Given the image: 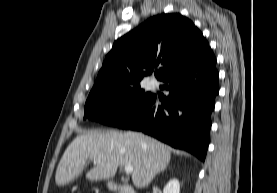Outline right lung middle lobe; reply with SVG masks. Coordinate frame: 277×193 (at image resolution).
I'll use <instances>...</instances> for the list:
<instances>
[{
    "label": "right lung middle lobe",
    "mask_w": 277,
    "mask_h": 193,
    "mask_svg": "<svg viewBox=\"0 0 277 193\" xmlns=\"http://www.w3.org/2000/svg\"><path fill=\"white\" fill-rule=\"evenodd\" d=\"M152 96L144 92L140 85L89 94L85 103L84 119L118 127Z\"/></svg>",
    "instance_id": "dd1d6c3e"
}]
</instances>
